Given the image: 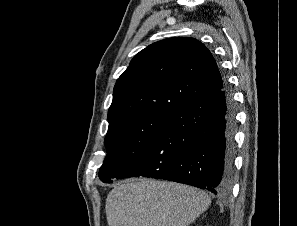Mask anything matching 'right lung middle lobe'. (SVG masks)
<instances>
[{"instance_id":"right-lung-middle-lobe-1","label":"right lung middle lobe","mask_w":297,"mask_h":226,"mask_svg":"<svg viewBox=\"0 0 297 226\" xmlns=\"http://www.w3.org/2000/svg\"><path fill=\"white\" fill-rule=\"evenodd\" d=\"M172 112H150L119 120L108 127L107 155L99 171L102 182L111 183L147 148L168 123Z\"/></svg>"}]
</instances>
